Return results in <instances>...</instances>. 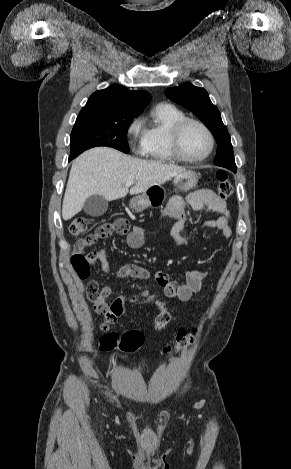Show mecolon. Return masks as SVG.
Listing matches in <instances>:
<instances>
[{"mask_svg":"<svg viewBox=\"0 0 291 469\" xmlns=\"http://www.w3.org/2000/svg\"><path fill=\"white\" fill-rule=\"evenodd\" d=\"M217 178V197L220 200L227 199L233 191V187L229 176L226 171L219 170L216 175ZM69 232L76 237H82L79 240L77 250L74 251L71 257V263L78 274V276L85 280L90 274V265L93 264L92 260L83 253V250L97 240L103 238L105 230L99 226L94 232L84 236L87 230V220L84 217H76L71 220L69 224ZM98 284L91 281L87 285V295L89 299L94 300L98 293ZM169 299L166 293L157 294L153 301H148V306H154L157 303L159 313L154 322V329L156 331L163 330L170 322L171 315L168 312L165 302ZM111 307L103 312V321L101 329L107 331L114 321L120 320L123 317L122 311L126 310L125 306L129 305L126 293H115L114 299L110 302ZM196 330L187 331L180 329L176 335V341L173 348L167 346L164 348L165 353H170L172 350L181 352L186 349L194 339ZM144 343V336L141 332L136 330L127 331L121 336L114 332H107L100 338L99 347L101 351H110L113 349H120L125 353H135L139 351Z\"/></svg>","mask_w":291,"mask_h":469,"instance_id":"obj_1","label":"colon"}]
</instances>
